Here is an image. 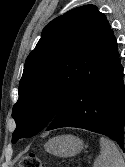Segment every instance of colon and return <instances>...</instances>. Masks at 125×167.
<instances>
[{"label": "colon", "mask_w": 125, "mask_h": 167, "mask_svg": "<svg viewBox=\"0 0 125 167\" xmlns=\"http://www.w3.org/2000/svg\"><path fill=\"white\" fill-rule=\"evenodd\" d=\"M19 167H42V163L35 154L28 153L20 159Z\"/></svg>", "instance_id": "5ec220e1"}]
</instances>
